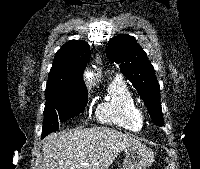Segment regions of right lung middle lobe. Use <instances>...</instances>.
<instances>
[{
  "mask_svg": "<svg viewBox=\"0 0 200 169\" xmlns=\"http://www.w3.org/2000/svg\"><path fill=\"white\" fill-rule=\"evenodd\" d=\"M88 93L46 99L42 138L59 128V121L79 115L85 108Z\"/></svg>",
  "mask_w": 200,
  "mask_h": 169,
  "instance_id": "right-lung-middle-lobe-1",
  "label": "right lung middle lobe"
}]
</instances>
